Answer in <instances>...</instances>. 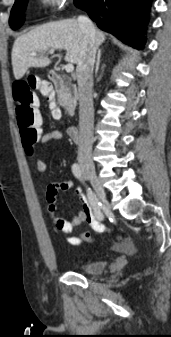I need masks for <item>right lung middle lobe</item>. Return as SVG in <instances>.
Returning a JSON list of instances; mask_svg holds the SVG:
<instances>
[{"instance_id": "right-lung-middle-lobe-1", "label": "right lung middle lobe", "mask_w": 171, "mask_h": 337, "mask_svg": "<svg viewBox=\"0 0 171 337\" xmlns=\"http://www.w3.org/2000/svg\"><path fill=\"white\" fill-rule=\"evenodd\" d=\"M28 0H15V4L11 10L9 24L13 30L22 26L24 22V10Z\"/></svg>"}]
</instances>
